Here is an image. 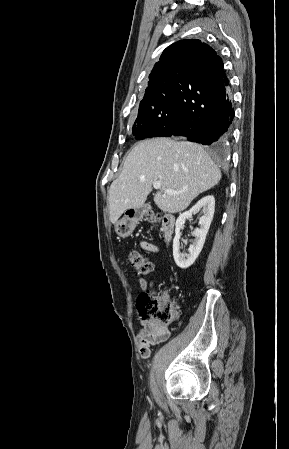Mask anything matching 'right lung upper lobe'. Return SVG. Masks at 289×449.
<instances>
[{
	"mask_svg": "<svg viewBox=\"0 0 289 449\" xmlns=\"http://www.w3.org/2000/svg\"><path fill=\"white\" fill-rule=\"evenodd\" d=\"M223 68L220 56L197 39H185L168 46L149 75L145 95L175 92L180 81H206Z\"/></svg>",
	"mask_w": 289,
	"mask_h": 449,
	"instance_id": "1",
	"label": "right lung upper lobe"
}]
</instances>
